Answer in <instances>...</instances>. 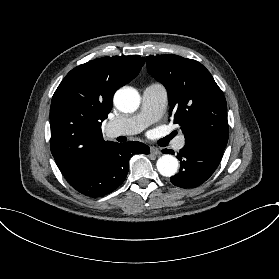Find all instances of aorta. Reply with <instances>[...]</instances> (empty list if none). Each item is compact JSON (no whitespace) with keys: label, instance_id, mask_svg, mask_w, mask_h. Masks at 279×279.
<instances>
[{"label":"aorta","instance_id":"1","mask_svg":"<svg viewBox=\"0 0 279 279\" xmlns=\"http://www.w3.org/2000/svg\"><path fill=\"white\" fill-rule=\"evenodd\" d=\"M115 106L125 113L134 112L140 105L139 93L131 88H120L114 95ZM158 172L165 177L174 176L178 170V160L169 154L161 156L156 163Z\"/></svg>","mask_w":279,"mask_h":279}]
</instances>
